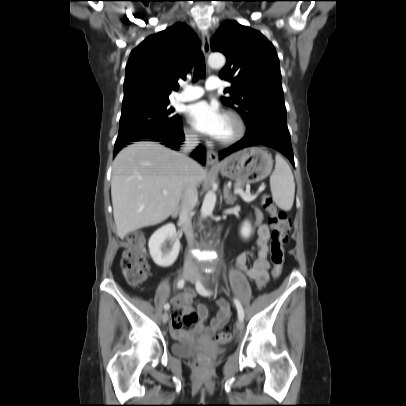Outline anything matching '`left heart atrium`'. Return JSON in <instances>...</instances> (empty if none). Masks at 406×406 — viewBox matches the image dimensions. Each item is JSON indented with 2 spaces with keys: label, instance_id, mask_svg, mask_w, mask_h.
<instances>
[{
  "label": "left heart atrium",
  "instance_id": "1",
  "mask_svg": "<svg viewBox=\"0 0 406 406\" xmlns=\"http://www.w3.org/2000/svg\"><path fill=\"white\" fill-rule=\"evenodd\" d=\"M190 124L199 132L218 138L221 131L224 114L215 104L199 101L187 108Z\"/></svg>",
  "mask_w": 406,
  "mask_h": 406
}]
</instances>
